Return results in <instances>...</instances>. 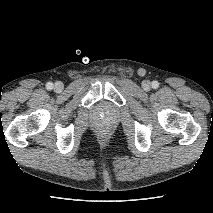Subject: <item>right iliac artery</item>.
Instances as JSON below:
<instances>
[{"instance_id":"82829eb1","label":"right iliac artery","mask_w":213,"mask_h":213,"mask_svg":"<svg viewBox=\"0 0 213 213\" xmlns=\"http://www.w3.org/2000/svg\"><path fill=\"white\" fill-rule=\"evenodd\" d=\"M46 88H47L48 90L53 89V83H52V82H48V83L46 84Z\"/></svg>"}]
</instances>
